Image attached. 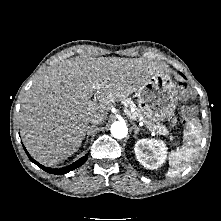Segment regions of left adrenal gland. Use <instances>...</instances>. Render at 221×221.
<instances>
[{
	"mask_svg": "<svg viewBox=\"0 0 221 221\" xmlns=\"http://www.w3.org/2000/svg\"><path fill=\"white\" fill-rule=\"evenodd\" d=\"M132 124L134 129V137L137 138V134L139 133L140 129L134 123Z\"/></svg>",
	"mask_w": 221,
	"mask_h": 221,
	"instance_id": "obj_1",
	"label": "left adrenal gland"
}]
</instances>
